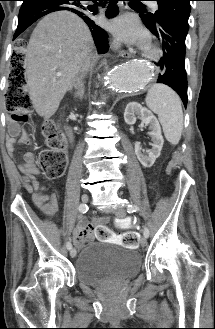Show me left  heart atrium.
Here are the masks:
<instances>
[{
	"instance_id": "39dd6f15",
	"label": "left heart atrium",
	"mask_w": 215,
	"mask_h": 329,
	"mask_svg": "<svg viewBox=\"0 0 215 329\" xmlns=\"http://www.w3.org/2000/svg\"><path fill=\"white\" fill-rule=\"evenodd\" d=\"M110 29L115 37L125 43L147 47L149 35L133 15H124L110 23Z\"/></svg>"
}]
</instances>
